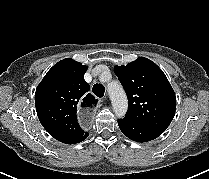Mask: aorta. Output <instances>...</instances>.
<instances>
[{"label": "aorta", "instance_id": "1", "mask_svg": "<svg viewBox=\"0 0 209 179\" xmlns=\"http://www.w3.org/2000/svg\"><path fill=\"white\" fill-rule=\"evenodd\" d=\"M108 93L116 116L122 118L128 109L127 96L122 86L117 82H113L108 86Z\"/></svg>", "mask_w": 209, "mask_h": 179}]
</instances>
